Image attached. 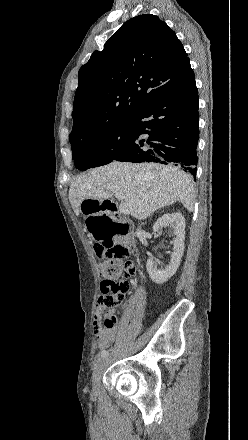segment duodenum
Instances as JSON below:
<instances>
[{
	"instance_id": "410a0bca",
	"label": "duodenum",
	"mask_w": 248,
	"mask_h": 440,
	"mask_svg": "<svg viewBox=\"0 0 248 440\" xmlns=\"http://www.w3.org/2000/svg\"><path fill=\"white\" fill-rule=\"evenodd\" d=\"M102 204H104L105 209H109V212L111 213V219L113 221V227L116 228L117 234L119 236L127 237L129 240H131L132 237L129 233V223L125 219L117 215L116 204L111 200H104Z\"/></svg>"
}]
</instances>
